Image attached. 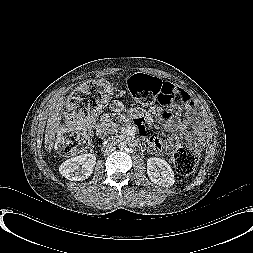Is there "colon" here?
Masks as SVG:
<instances>
[{
  "label": "colon",
  "mask_w": 253,
  "mask_h": 253,
  "mask_svg": "<svg viewBox=\"0 0 253 253\" xmlns=\"http://www.w3.org/2000/svg\"><path fill=\"white\" fill-rule=\"evenodd\" d=\"M126 84L130 95L141 104L170 105L178 101L173 85L152 75L129 74ZM112 95L113 87L105 80L85 82L74 91L67 103L65 124L59 130L57 149L61 154L69 156L86 149L90 139L89 123ZM173 161L177 173L187 176L198 162V153L182 146L175 151Z\"/></svg>",
  "instance_id": "5ec220e1"
}]
</instances>
